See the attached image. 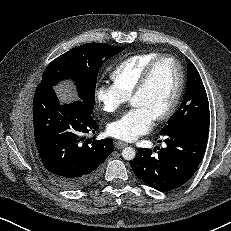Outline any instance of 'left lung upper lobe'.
<instances>
[{"label": "left lung upper lobe", "instance_id": "5c2ea615", "mask_svg": "<svg viewBox=\"0 0 231 231\" xmlns=\"http://www.w3.org/2000/svg\"><path fill=\"white\" fill-rule=\"evenodd\" d=\"M187 89L183 102L161 133L178 128L209 129V103L203 82L194 64L187 59Z\"/></svg>", "mask_w": 231, "mask_h": 231}]
</instances>
